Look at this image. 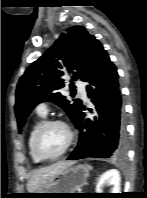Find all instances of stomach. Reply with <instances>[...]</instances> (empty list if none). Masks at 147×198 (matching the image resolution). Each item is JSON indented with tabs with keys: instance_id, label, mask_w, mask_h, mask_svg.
<instances>
[{
	"instance_id": "1",
	"label": "stomach",
	"mask_w": 147,
	"mask_h": 198,
	"mask_svg": "<svg viewBox=\"0 0 147 198\" xmlns=\"http://www.w3.org/2000/svg\"><path fill=\"white\" fill-rule=\"evenodd\" d=\"M89 169L85 165L70 166L62 170L55 177L47 181L37 191L32 192L34 198H58L63 194L50 193H74L77 189L86 185Z\"/></svg>"
}]
</instances>
